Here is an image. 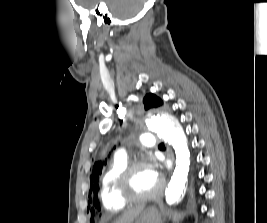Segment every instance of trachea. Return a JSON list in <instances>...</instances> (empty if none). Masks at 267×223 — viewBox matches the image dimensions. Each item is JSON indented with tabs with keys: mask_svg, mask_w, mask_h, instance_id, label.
I'll return each instance as SVG.
<instances>
[{
	"mask_svg": "<svg viewBox=\"0 0 267 223\" xmlns=\"http://www.w3.org/2000/svg\"><path fill=\"white\" fill-rule=\"evenodd\" d=\"M159 147H164V143H160L159 144Z\"/></svg>",
	"mask_w": 267,
	"mask_h": 223,
	"instance_id": "1",
	"label": "trachea"
}]
</instances>
